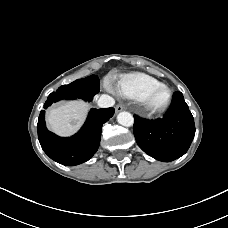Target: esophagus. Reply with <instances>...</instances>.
<instances>
[{"label": "esophagus", "mask_w": 228, "mask_h": 228, "mask_svg": "<svg viewBox=\"0 0 228 228\" xmlns=\"http://www.w3.org/2000/svg\"><path fill=\"white\" fill-rule=\"evenodd\" d=\"M115 109H116V112H121V111H123V110L125 109V106L122 105V104H118V105L115 107Z\"/></svg>", "instance_id": "obj_1"}]
</instances>
